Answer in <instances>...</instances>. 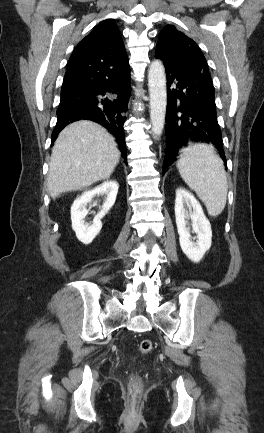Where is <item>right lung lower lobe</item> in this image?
Wrapping results in <instances>:
<instances>
[{
  "instance_id": "1",
  "label": "right lung lower lobe",
  "mask_w": 264,
  "mask_h": 433,
  "mask_svg": "<svg viewBox=\"0 0 264 433\" xmlns=\"http://www.w3.org/2000/svg\"><path fill=\"white\" fill-rule=\"evenodd\" d=\"M130 91L129 63L67 70L61 88L52 141L68 124L78 120H91L106 127L117 138L126 159L123 125Z\"/></svg>"
}]
</instances>
